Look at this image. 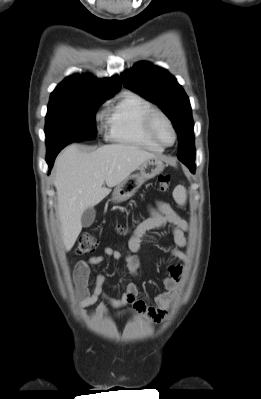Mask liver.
<instances>
[{
    "mask_svg": "<svg viewBox=\"0 0 261 399\" xmlns=\"http://www.w3.org/2000/svg\"><path fill=\"white\" fill-rule=\"evenodd\" d=\"M155 154L135 145L110 144L92 152L68 146L56 159L54 185L58 217L65 250L74 246L81 230V216L101 202L111 188L121 183ZM104 182L107 187H103Z\"/></svg>",
    "mask_w": 261,
    "mask_h": 399,
    "instance_id": "liver-1",
    "label": "liver"
}]
</instances>
